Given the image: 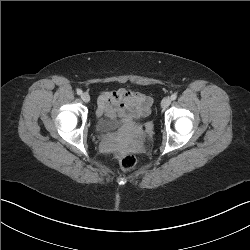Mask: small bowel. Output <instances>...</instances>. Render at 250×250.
<instances>
[{
	"mask_svg": "<svg viewBox=\"0 0 250 250\" xmlns=\"http://www.w3.org/2000/svg\"><path fill=\"white\" fill-rule=\"evenodd\" d=\"M152 98L129 89L103 91L98 99L97 115L102 116H146L152 105Z\"/></svg>",
	"mask_w": 250,
	"mask_h": 250,
	"instance_id": "small-bowel-1",
	"label": "small bowel"
}]
</instances>
